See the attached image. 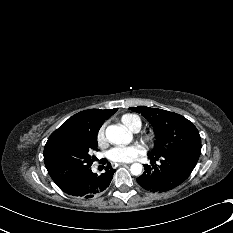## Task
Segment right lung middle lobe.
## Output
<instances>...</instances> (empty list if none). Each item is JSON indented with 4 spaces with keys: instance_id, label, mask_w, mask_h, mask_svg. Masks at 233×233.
Listing matches in <instances>:
<instances>
[{
    "instance_id": "obj_1",
    "label": "right lung middle lobe",
    "mask_w": 233,
    "mask_h": 233,
    "mask_svg": "<svg viewBox=\"0 0 233 233\" xmlns=\"http://www.w3.org/2000/svg\"><path fill=\"white\" fill-rule=\"evenodd\" d=\"M97 133L59 140L49 153L47 170L55 183L66 181L92 166L97 150Z\"/></svg>"
}]
</instances>
